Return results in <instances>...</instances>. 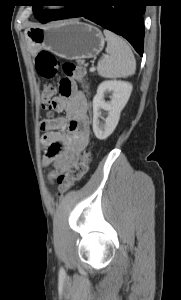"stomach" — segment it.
Instances as JSON below:
<instances>
[{
	"instance_id": "obj_1",
	"label": "stomach",
	"mask_w": 181,
	"mask_h": 300,
	"mask_svg": "<svg viewBox=\"0 0 181 300\" xmlns=\"http://www.w3.org/2000/svg\"><path fill=\"white\" fill-rule=\"evenodd\" d=\"M25 38L32 54L45 49L61 58L78 61L95 57L105 44L100 29L78 20L28 28L25 31Z\"/></svg>"
}]
</instances>
